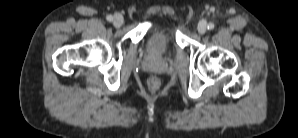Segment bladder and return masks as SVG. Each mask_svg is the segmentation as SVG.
<instances>
[{"instance_id":"obj_1","label":"bladder","mask_w":298,"mask_h":138,"mask_svg":"<svg viewBox=\"0 0 298 138\" xmlns=\"http://www.w3.org/2000/svg\"><path fill=\"white\" fill-rule=\"evenodd\" d=\"M172 33L165 27L153 29L145 40V52L152 59L164 57L173 45Z\"/></svg>"}]
</instances>
